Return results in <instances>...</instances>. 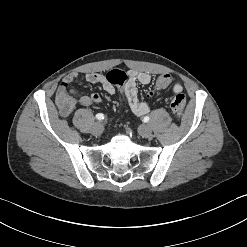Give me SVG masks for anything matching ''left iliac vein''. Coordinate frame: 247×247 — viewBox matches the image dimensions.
I'll return each instance as SVG.
<instances>
[{
  "mask_svg": "<svg viewBox=\"0 0 247 247\" xmlns=\"http://www.w3.org/2000/svg\"><path fill=\"white\" fill-rule=\"evenodd\" d=\"M139 134L142 137L149 138L152 136V129L148 125H142L139 127Z\"/></svg>",
  "mask_w": 247,
  "mask_h": 247,
  "instance_id": "left-iliac-vein-1",
  "label": "left iliac vein"
}]
</instances>
